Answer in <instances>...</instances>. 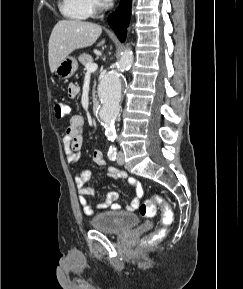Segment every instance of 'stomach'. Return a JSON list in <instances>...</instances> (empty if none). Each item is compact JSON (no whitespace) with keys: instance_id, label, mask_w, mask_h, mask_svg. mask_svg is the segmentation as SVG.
<instances>
[{"instance_id":"obj_1","label":"stomach","mask_w":243,"mask_h":289,"mask_svg":"<svg viewBox=\"0 0 243 289\" xmlns=\"http://www.w3.org/2000/svg\"><path fill=\"white\" fill-rule=\"evenodd\" d=\"M78 68L77 60L74 57H66L61 61L55 70L56 75L62 79L71 77Z\"/></svg>"}]
</instances>
